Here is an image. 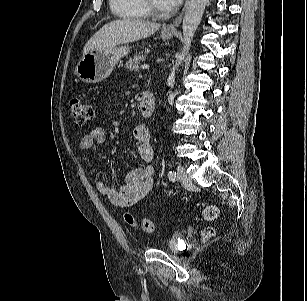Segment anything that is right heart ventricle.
Wrapping results in <instances>:
<instances>
[{"instance_id":"1","label":"right heart ventricle","mask_w":307,"mask_h":301,"mask_svg":"<svg viewBox=\"0 0 307 301\" xmlns=\"http://www.w3.org/2000/svg\"><path fill=\"white\" fill-rule=\"evenodd\" d=\"M111 11L123 19H144L148 13L141 0H109Z\"/></svg>"}]
</instances>
